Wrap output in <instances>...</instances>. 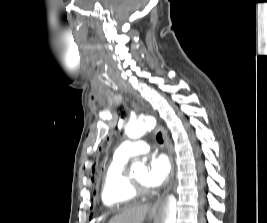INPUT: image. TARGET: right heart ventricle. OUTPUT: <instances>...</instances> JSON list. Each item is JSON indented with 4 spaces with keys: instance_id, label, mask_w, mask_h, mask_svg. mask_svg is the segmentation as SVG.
<instances>
[{
    "instance_id": "1",
    "label": "right heart ventricle",
    "mask_w": 267,
    "mask_h": 223,
    "mask_svg": "<svg viewBox=\"0 0 267 223\" xmlns=\"http://www.w3.org/2000/svg\"><path fill=\"white\" fill-rule=\"evenodd\" d=\"M127 162L128 158L115 154L104 172L101 201L110 210H118L135 199L128 183Z\"/></svg>"
}]
</instances>
